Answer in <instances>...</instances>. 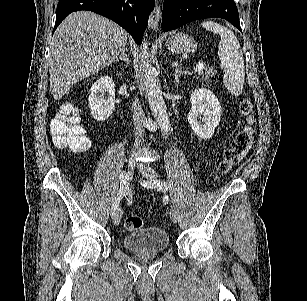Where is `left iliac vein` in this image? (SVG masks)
Wrapping results in <instances>:
<instances>
[{
    "instance_id": "left-iliac-vein-1",
    "label": "left iliac vein",
    "mask_w": 307,
    "mask_h": 301,
    "mask_svg": "<svg viewBox=\"0 0 307 301\" xmlns=\"http://www.w3.org/2000/svg\"><path fill=\"white\" fill-rule=\"evenodd\" d=\"M140 171L147 179H149V184L146 187L152 188V189H157L158 188L157 185L153 184V181L158 179L156 172L148 166H142L140 168ZM170 217H171V220H172L173 223L178 222L179 215H178V212H177V210L174 206H172L171 209H170Z\"/></svg>"
}]
</instances>
